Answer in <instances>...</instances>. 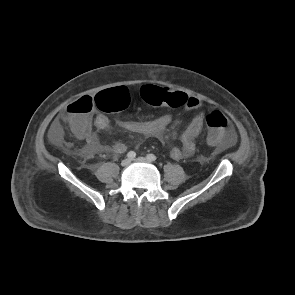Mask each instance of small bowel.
Returning a JSON list of instances; mask_svg holds the SVG:
<instances>
[{"instance_id":"obj_1","label":"small bowel","mask_w":295,"mask_h":295,"mask_svg":"<svg viewBox=\"0 0 295 295\" xmlns=\"http://www.w3.org/2000/svg\"><path fill=\"white\" fill-rule=\"evenodd\" d=\"M184 107L187 111L195 112V115L181 137L182 145L180 147H173L170 150V156L174 160L186 159L194 155L196 139L204 126V104L200 99L189 96ZM172 121L173 115L167 113L149 121L119 120L118 125L129 132L162 138L166 128ZM93 127L100 132H106L110 128L109 119L106 115L101 113L89 114L80 122L77 128L73 129L78 138L85 140V149L88 153L96 154L109 152L112 154H122L126 151V145L123 142L116 141L111 145L104 143L99 136L92 131ZM49 138L55 145L62 143L63 133L58 121L53 122L51 125Z\"/></svg>"}]
</instances>
